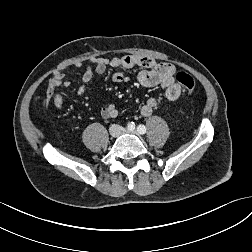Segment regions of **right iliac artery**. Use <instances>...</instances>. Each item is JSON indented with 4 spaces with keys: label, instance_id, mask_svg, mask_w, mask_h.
Segmentation results:
<instances>
[{
    "label": "right iliac artery",
    "instance_id": "82829eb1",
    "mask_svg": "<svg viewBox=\"0 0 252 252\" xmlns=\"http://www.w3.org/2000/svg\"><path fill=\"white\" fill-rule=\"evenodd\" d=\"M127 129H128V130H134V129H135V124H134L133 122L129 123V124L127 125Z\"/></svg>",
    "mask_w": 252,
    "mask_h": 252
}]
</instances>
